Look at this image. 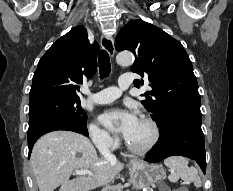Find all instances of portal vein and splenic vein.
<instances>
[{
	"label": "portal vein and splenic vein",
	"mask_w": 233,
	"mask_h": 191,
	"mask_svg": "<svg viewBox=\"0 0 233 191\" xmlns=\"http://www.w3.org/2000/svg\"><path fill=\"white\" fill-rule=\"evenodd\" d=\"M75 174L80 176V175L91 174V172L89 170H76Z\"/></svg>",
	"instance_id": "18ae733b"
}]
</instances>
